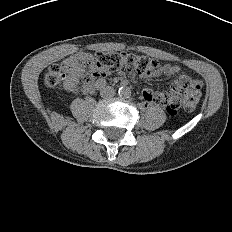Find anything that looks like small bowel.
I'll return each instance as SVG.
<instances>
[{"label": "small bowel", "instance_id": "1", "mask_svg": "<svg viewBox=\"0 0 232 232\" xmlns=\"http://www.w3.org/2000/svg\"><path fill=\"white\" fill-rule=\"evenodd\" d=\"M64 64V70L67 73V77L65 80V88L73 93H77L79 91H82L83 93H90L89 87H80L79 85V79L81 78L83 74L82 67L78 66L75 63V58H70L63 62ZM181 71V68L178 65L174 64H164L160 68H158L156 71L151 73V75H161L164 74L166 76H172L175 74H179ZM186 77L190 80L191 85L194 87H199L201 89L202 87V81L198 79H191L189 76L185 74H181L179 78ZM178 78V79H179ZM99 82L105 84V81L103 79H100ZM157 94L160 93H154L150 89H144L142 92V98L148 102H155V97Z\"/></svg>", "mask_w": 232, "mask_h": 232}]
</instances>
